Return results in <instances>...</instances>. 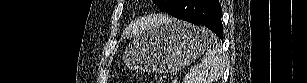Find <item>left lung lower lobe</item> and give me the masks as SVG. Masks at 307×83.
<instances>
[{"label":"left lung lower lobe","mask_w":307,"mask_h":83,"mask_svg":"<svg viewBox=\"0 0 307 83\" xmlns=\"http://www.w3.org/2000/svg\"><path fill=\"white\" fill-rule=\"evenodd\" d=\"M166 12L192 24L204 25L223 39L222 10L218 0H174Z\"/></svg>","instance_id":"1"}]
</instances>
